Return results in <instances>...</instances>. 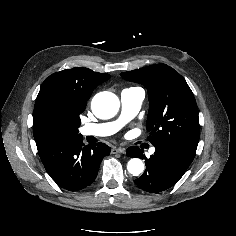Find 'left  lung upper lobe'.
I'll list each match as a JSON object with an SVG mask.
<instances>
[{
	"instance_id": "1",
	"label": "left lung upper lobe",
	"mask_w": 236,
	"mask_h": 236,
	"mask_svg": "<svg viewBox=\"0 0 236 236\" xmlns=\"http://www.w3.org/2000/svg\"><path fill=\"white\" fill-rule=\"evenodd\" d=\"M120 75L148 91V140L153 145H174L196 152L200 137L198 107L184 78L165 64Z\"/></svg>"
}]
</instances>
